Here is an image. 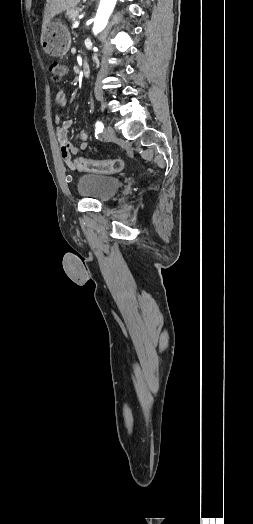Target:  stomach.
Listing matches in <instances>:
<instances>
[{
	"label": "stomach",
	"instance_id": "stomach-1",
	"mask_svg": "<svg viewBox=\"0 0 253 524\" xmlns=\"http://www.w3.org/2000/svg\"><path fill=\"white\" fill-rule=\"evenodd\" d=\"M71 36L61 21L50 22L41 35L43 50L52 57H63L69 50Z\"/></svg>",
	"mask_w": 253,
	"mask_h": 524
}]
</instances>
